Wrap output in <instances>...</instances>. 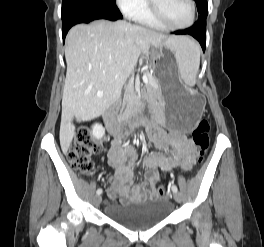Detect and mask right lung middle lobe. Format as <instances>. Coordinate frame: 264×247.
<instances>
[{
	"label": "right lung middle lobe",
	"instance_id": "right-lung-middle-lobe-1",
	"mask_svg": "<svg viewBox=\"0 0 264 247\" xmlns=\"http://www.w3.org/2000/svg\"><path fill=\"white\" fill-rule=\"evenodd\" d=\"M90 1L101 2L106 4H115V0H90Z\"/></svg>",
	"mask_w": 264,
	"mask_h": 247
}]
</instances>
